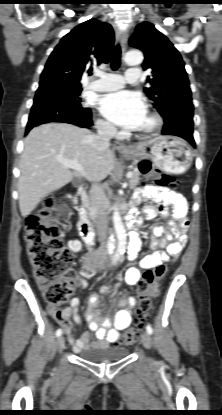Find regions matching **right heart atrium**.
<instances>
[{
  "mask_svg": "<svg viewBox=\"0 0 222 415\" xmlns=\"http://www.w3.org/2000/svg\"><path fill=\"white\" fill-rule=\"evenodd\" d=\"M97 129L103 134H112L114 132L113 126L104 120H97L96 122Z\"/></svg>",
  "mask_w": 222,
  "mask_h": 415,
  "instance_id": "right-heart-atrium-1",
  "label": "right heart atrium"
}]
</instances>
